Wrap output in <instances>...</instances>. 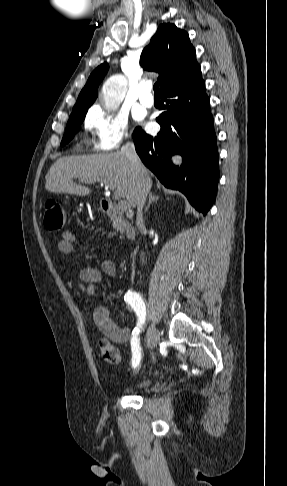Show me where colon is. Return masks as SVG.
Instances as JSON below:
<instances>
[{
	"instance_id": "obj_1",
	"label": "colon",
	"mask_w": 287,
	"mask_h": 486,
	"mask_svg": "<svg viewBox=\"0 0 287 486\" xmlns=\"http://www.w3.org/2000/svg\"><path fill=\"white\" fill-rule=\"evenodd\" d=\"M65 223V214L61 204L55 199H48L44 204V225L50 231L62 229ZM99 348L102 358L109 364H117L120 361V353L109 339L101 338Z\"/></svg>"
}]
</instances>
